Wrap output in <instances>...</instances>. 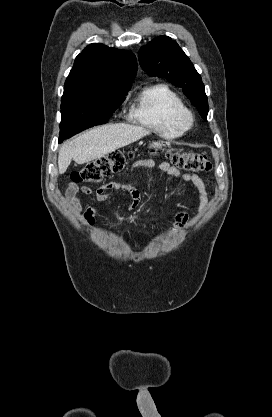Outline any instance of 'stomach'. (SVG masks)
I'll use <instances>...</instances> for the list:
<instances>
[{
    "label": "stomach",
    "instance_id": "1",
    "mask_svg": "<svg viewBox=\"0 0 272 417\" xmlns=\"http://www.w3.org/2000/svg\"><path fill=\"white\" fill-rule=\"evenodd\" d=\"M161 147H162V143H160L159 141H153L149 143V148L159 149Z\"/></svg>",
    "mask_w": 272,
    "mask_h": 417
}]
</instances>
